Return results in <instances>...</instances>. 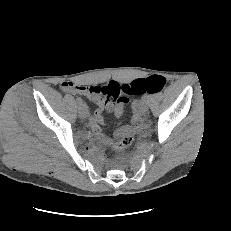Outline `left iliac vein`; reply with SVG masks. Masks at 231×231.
<instances>
[{"label": "left iliac vein", "instance_id": "4c4485c4", "mask_svg": "<svg viewBox=\"0 0 231 231\" xmlns=\"http://www.w3.org/2000/svg\"><path fill=\"white\" fill-rule=\"evenodd\" d=\"M138 109L141 113H146L148 111V102L146 100H142L140 105H138Z\"/></svg>", "mask_w": 231, "mask_h": 231}]
</instances>
